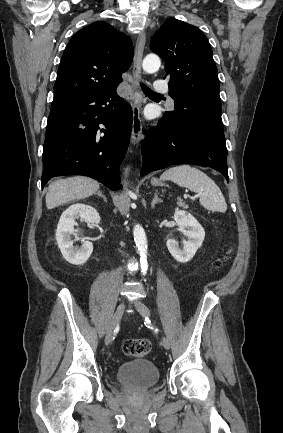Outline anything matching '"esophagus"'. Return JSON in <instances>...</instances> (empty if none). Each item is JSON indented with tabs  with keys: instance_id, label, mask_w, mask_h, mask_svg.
Segmentation results:
<instances>
[{
	"instance_id": "esophagus-1",
	"label": "esophagus",
	"mask_w": 283,
	"mask_h": 433,
	"mask_svg": "<svg viewBox=\"0 0 283 433\" xmlns=\"http://www.w3.org/2000/svg\"><path fill=\"white\" fill-rule=\"evenodd\" d=\"M146 43V34L141 32L136 41L135 54L133 60V80L132 87L137 89L141 80V66L143 59V52ZM142 120L140 117V108L138 105L133 106V123H132V142L137 145L142 139Z\"/></svg>"
}]
</instances>
